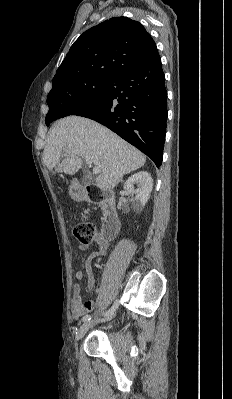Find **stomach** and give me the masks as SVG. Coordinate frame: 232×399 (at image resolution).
<instances>
[{
	"mask_svg": "<svg viewBox=\"0 0 232 399\" xmlns=\"http://www.w3.org/2000/svg\"><path fill=\"white\" fill-rule=\"evenodd\" d=\"M75 194H78V192H75ZM75 200H76V196H74Z\"/></svg>",
	"mask_w": 232,
	"mask_h": 399,
	"instance_id": "obj_1",
	"label": "stomach"
}]
</instances>
